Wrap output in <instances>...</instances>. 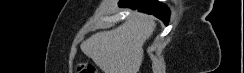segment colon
<instances>
[{"label": "colon", "instance_id": "1", "mask_svg": "<svg viewBox=\"0 0 244 73\" xmlns=\"http://www.w3.org/2000/svg\"><path fill=\"white\" fill-rule=\"evenodd\" d=\"M77 73H97L96 68L92 64L81 63L76 67Z\"/></svg>", "mask_w": 244, "mask_h": 73}]
</instances>
